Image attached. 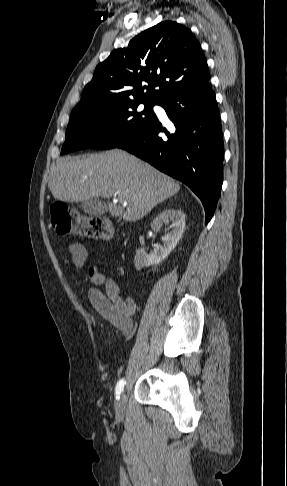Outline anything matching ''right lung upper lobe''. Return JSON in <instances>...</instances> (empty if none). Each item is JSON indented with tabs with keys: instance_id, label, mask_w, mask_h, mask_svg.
<instances>
[{
	"instance_id": "obj_1",
	"label": "right lung upper lobe",
	"mask_w": 287,
	"mask_h": 486,
	"mask_svg": "<svg viewBox=\"0 0 287 486\" xmlns=\"http://www.w3.org/2000/svg\"><path fill=\"white\" fill-rule=\"evenodd\" d=\"M210 77L192 32L177 22L164 21L141 32L127 47L115 49L98 64L72 111L127 99L159 102L171 94L202 86Z\"/></svg>"
}]
</instances>
